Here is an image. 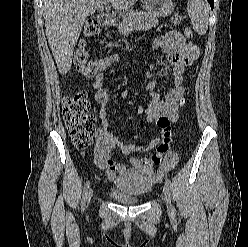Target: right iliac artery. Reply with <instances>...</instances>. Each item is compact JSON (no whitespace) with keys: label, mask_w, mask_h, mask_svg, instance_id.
Returning <instances> with one entry per match:
<instances>
[{"label":"right iliac artery","mask_w":248,"mask_h":247,"mask_svg":"<svg viewBox=\"0 0 248 247\" xmlns=\"http://www.w3.org/2000/svg\"><path fill=\"white\" fill-rule=\"evenodd\" d=\"M90 186V181H86L85 185H84V190H83V196H82V200H81V209L84 211L85 207H86V201H87V194H88V189Z\"/></svg>","instance_id":"1"}]
</instances>
